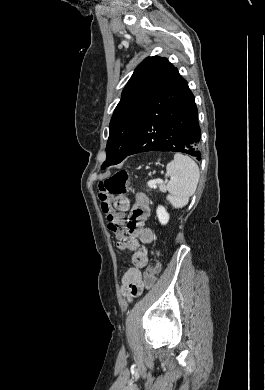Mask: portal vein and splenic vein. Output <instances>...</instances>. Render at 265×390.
<instances>
[{"mask_svg": "<svg viewBox=\"0 0 265 390\" xmlns=\"http://www.w3.org/2000/svg\"><path fill=\"white\" fill-rule=\"evenodd\" d=\"M157 183H163V181H162V180H156V181L150 180V181L148 182V184H149V186H150L151 188H156ZM164 189H165V188H161V190H164Z\"/></svg>", "mask_w": 265, "mask_h": 390, "instance_id": "1", "label": "portal vein and splenic vein"}]
</instances>
